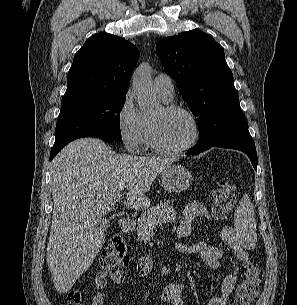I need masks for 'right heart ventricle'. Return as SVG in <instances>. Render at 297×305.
Listing matches in <instances>:
<instances>
[{
  "label": "right heart ventricle",
  "mask_w": 297,
  "mask_h": 305,
  "mask_svg": "<svg viewBox=\"0 0 297 305\" xmlns=\"http://www.w3.org/2000/svg\"><path fill=\"white\" fill-rule=\"evenodd\" d=\"M163 101H165V100H163ZM165 102H167V101H165ZM143 118H144L145 128H144V134H143L142 143L144 145L150 147V142H149V125H150V120L147 117H143Z\"/></svg>",
  "instance_id": "obj_1"
}]
</instances>
